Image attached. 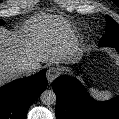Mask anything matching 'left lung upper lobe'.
I'll return each mask as SVG.
<instances>
[{
  "label": "left lung upper lobe",
  "mask_w": 119,
  "mask_h": 119,
  "mask_svg": "<svg viewBox=\"0 0 119 119\" xmlns=\"http://www.w3.org/2000/svg\"><path fill=\"white\" fill-rule=\"evenodd\" d=\"M107 29L105 35L101 38L100 44L114 47L119 44V25L115 20L106 16Z\"/></svg>",
  "instance_id": "left-lung-upper-lobe-1"
}]
</instances>
